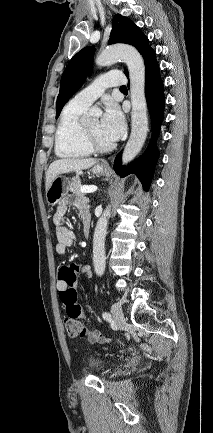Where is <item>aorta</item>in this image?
<instances>
[{
  "label": "aorta",
  "instance_id": "762f6f07",
  "mask_svg": "<svg viewBox=\"0 0 213 433\" xmlns=\"http://www.w3.org/2000/svg\"><path fill=\"white\" fill-rule=\"evenodd\" d=\"M123 60L129 71L131 112V134L122 155L123 165L132 161L141 150L148 132L147 103L145 97V65L140 53L131 46H111L101 52L96 58L98 66H107ZM98 112L91 109L90 115ZM111 206L108 205L98 219L93 238V263L98 276L105 271V237L110 217Z\"/></svg>",
  "mask_w": 213,
  "mask_h": 433
}]
</instances>
